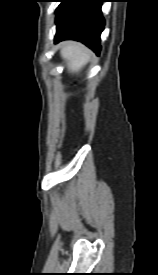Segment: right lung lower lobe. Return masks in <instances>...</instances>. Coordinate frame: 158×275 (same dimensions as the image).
<instances>
[{"label":"right lung lower lobe","mask_w":158,"mask_h":275,"mask_svg":"<svg viewBox=\"0 0 158 275\" xmlns=\"http://www.w3.org/2000/svg\"><path fill=\"white\" fill-rule=\"evenodd\" d=\"M104 1L63 0L57 9L55 43L77 40L99 54L100 34L105 24L101 11Z\"/></svg>","instance_id":"1"}]
</instances>
